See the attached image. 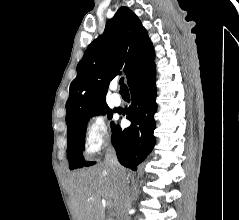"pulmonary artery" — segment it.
<instances>
[{"label": "pulmonary artery", "instance_id": "e3ab8cb5", "mask_svg": "<svg viewBox=\"0 0 239 220\" xmlns=\"http://www.w3.org/2000/svg\"><path fill=\"white\" fill-rule=\"evenodd\" d=\"M111 88H112V90H115V89H116V86H115V85H112ZM110 101H111L114 105H120L121 102H122V99H121V96H120L118 93H113V94L110 96Z\"/></svg>", "mask_w": 239, "mask_h": 220}]
</instances>
